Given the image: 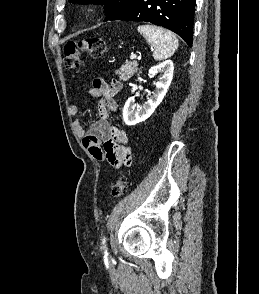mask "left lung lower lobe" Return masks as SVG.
Masks as SVG:
<instances>
[{"label":"left lung lower lobe","instance_id":"0a47b994","mask_svg":"<svg viewBox=\"0 0 259 294\" xmlns=\"http://www.w3.org/2000/svg\"><path fill=\"white\" fill-rule=\"evenodd\" d=\"M194 10L195 0H135L104 21L150 22L175 32L192 46Z\"/></svg>","mask_w":259,"mask_h":294}]
</instances>
